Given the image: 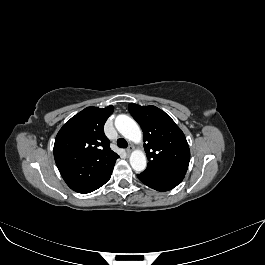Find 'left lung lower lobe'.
I'll list each match as a JSON object with an SVG mask.
<instances>
[{"instance_id": "obj_1", "label": "left lung lower lobe", "mask_w": 265, "mask_h": 265, "mask_svg": "<svg viewBox=\"0 0 265 265\" xmlns=\"http://www.w3.org/2000/svg\"><path fill=\"white\" fill-rule=\"evenodd\" d=\"M145 185L157 191H168L176 187L184 179V175L159 174L144 171L137 175Z\"/></svg>"}]
</instances>
